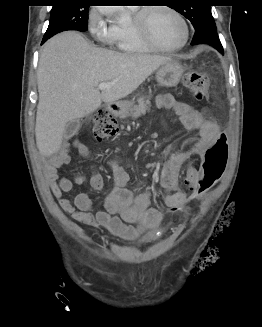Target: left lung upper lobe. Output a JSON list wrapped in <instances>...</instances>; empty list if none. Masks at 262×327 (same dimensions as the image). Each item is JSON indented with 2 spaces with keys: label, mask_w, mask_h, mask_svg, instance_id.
Returning <instances> with one entry per match:
<instances>
[{
  "label": "left lung upper lobe",
  "mask_w": 262,
  "mask_h": 327,
  "mask_svg": "<svg viewBox=\"0 0 262 327\" xmlns=\"http://www.w3.org/2000/svg\"><path fill=\"white\" fill-rule=\"evenodd\" d=\"M177 1H173L176 3ZM195 5L173 4V8L185 16L193 25L195 31L206 22L213 20L211 6L206 4L205 0L195 1Z\"/></svg>",
  "instance_id": "1"
}]
</instances>
